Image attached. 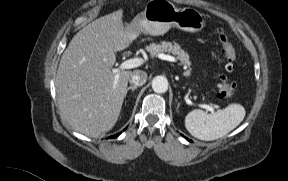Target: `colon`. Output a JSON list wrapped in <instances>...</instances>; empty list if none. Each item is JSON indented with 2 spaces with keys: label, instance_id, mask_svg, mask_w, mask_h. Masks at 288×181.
Segmentation results:
<instances>
[{
  "label": "colon",
  "instance_id": "obj_1",
  "mask_svg": "<svg viewBox=\"0 0 288 181\" xmlns=\"http://www.w3.org/2000/svg\"><path fill=\"white\" fill-rule=\"evenodd\" d=\"M219 40L222 44L223 56L225 59V70L232 72L234 69V60L236 57L235 50L229 38L222 29L217 30ZM235 85L228 81L224 75L220 76V87L217 92L218 98L228 100L234 95Z\"/></svg>",
  "mask_w": 288,
  "mask_h": 181
}]
</instances>
